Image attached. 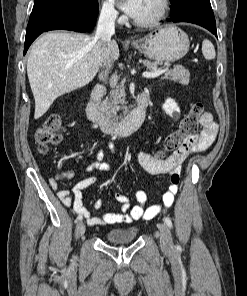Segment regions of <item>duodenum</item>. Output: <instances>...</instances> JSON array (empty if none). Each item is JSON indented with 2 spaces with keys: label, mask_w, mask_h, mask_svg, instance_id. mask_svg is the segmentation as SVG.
Segmentation results:
<instances>
[{
  "label": "duodenum",
  "mask_w": 247,
  "mask_h": 296,
  "mask_svg": "<svg viewBox=\"0 0 247 296\" xmlns=\"http://www.w3.org/2000/svg\"><path fill=\"white\" fill-rule=\"evenodd\" d=\"M105 86L96 85L86 105V114L89 119L97 123L103 132L118 136H129L136 132L143 124L145 110L151 99V92H142L132 110L122 119L114 120L107 116L99 107L98 102L105 93Z\"/></svg>",
  "instance_id": "410a0bca"
}]
</instances>
